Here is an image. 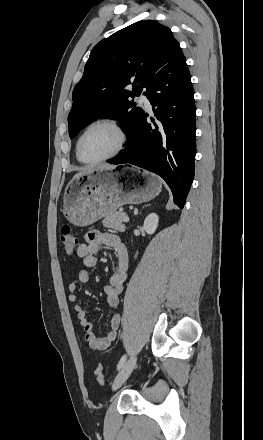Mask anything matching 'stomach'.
Instances as JSON below:
<instances>
[{"label":"stomach","instance_id":"stomach-1","mask_svg":"<svg viewBox=\"0 0 263 440\" xmlns=\"http://www.w3.org/2000/svg\"><path fill=\"white\" fill-rule=\"evenodd\" d=\"M161 186L160 178L146 171L128 168L116 172L87 171L67 184L62 212L73 225L87 226L112 215L125 204L150 201L160 193Z\"/></svg>","mask_w":263,"mask_h":440}]
</instances>
